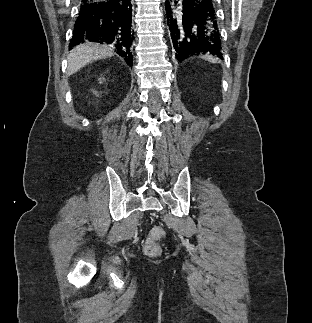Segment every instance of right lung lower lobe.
<instances>
[{"mask_svg": "<svg viewBox=\"0 0 312 323\" xmlns=\"http://www.w3.org/2000/svg\"><path fill=\"white\" fill-rule=\"evenodd\" d=\"M131 0H82L69 48L86 40L109 45L133 63Z\"/></svg>", "mask_w": 312, "mask_h": 323, "instance_id": "1", "label": "right lung lower lobe"}]
</instances>
